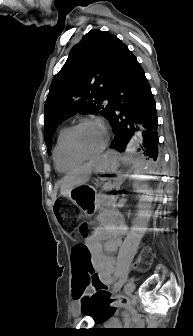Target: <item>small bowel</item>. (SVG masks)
Returning a JSON list of instances; mask_svg holds the SVG:
<instances>
[{
	"mask_svg": "<svg viewBox=\"0 0 193 336\" xmlns=\"http://www.w3.org/2000/svg\"><path fill=\"white\" fill-rule=\"evenodd\" d=\"M101 224L86 239L85 246L89 252L92 269L97 277L106 285L113 283L119 273L122 259L111 256L122 245L121 236L126 227L122 218L115 211H102ZM94 288L89 284L85 294H92ZM108 324H116L115 318H110Z\"/></svg>",
	"mask_w": 193,
	"mask_h": 336,
	"instance_id": "obj_1",
	"label": "small bowel"
}]
</instances>
